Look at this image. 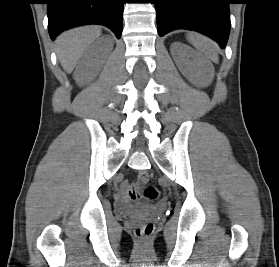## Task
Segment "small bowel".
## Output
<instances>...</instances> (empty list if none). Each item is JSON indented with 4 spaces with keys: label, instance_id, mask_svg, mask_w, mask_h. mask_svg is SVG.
<instances>
[{
    "label": "small bowel",
    "instance_id": "1",
    "mask_svg": "<svg viewBox=\"0 0 279 267\" xmlns=\"http://www.w3.org/2000/svg\"><path fill=\"white\" fill-rule=\"evenodd\" d=\"M122 190L124 191L125 197L129 199H134V201H141V196L138 192H133L136 190V187H128L127 185H122Z\"/></svg>",
    "mask_w": 279,
    "mask_h": 267
}]
</instances>
